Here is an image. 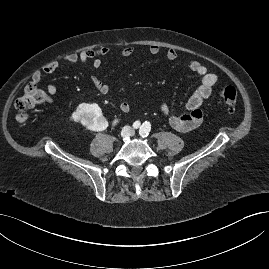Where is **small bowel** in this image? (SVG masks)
Instances as JSON below:
<instances>
[{
	"label": "small bowel",
	"mask_w": 269,
	"mask_h": 269,
	"mask_svg": "<svg viewBox=\"0 0 269 269\" xmlns=\"http://www.w3.org/2000/svg\"><path fill=\"white\" fill-rule=\"evenodd\" d=\"M148 51L155 55L160 52V47L157 45H151ZM110 53L108 46H102L98 49H85L79 53H70L62 58L61 61H53L43 66L42 70L35 71L32 74V83L38 85L44 74H52L58 70L62 65H72L76 63H83L90 65L94 69H98L102 66V58ZM134 53L132 46L125 47L120 52V57L127 58ZM166 58L169 61H176L178 59V53L174 49H168L166 51ZM185 64L189 71L196 74L200 78V84L187 100L185 105V112L173 113L170 111L166 104L161 105L162 112L167 116L170 125L180 131L188 132L196 128L202 121L203 113L200 109L204 100L209 98L218 83L219 77L217 74L210 72L208 68L201 62L195 59H187ZM93 86L103 95L110 93V86L103 82L99 77H92ZM57 93V87L54 84H48L46 88L45 101L50 102ZM119 109L123 113H129L131 105L128 101L122 100L119 103Z\"/></svg>",
	"instance_id": "1"
}]
</instances>
